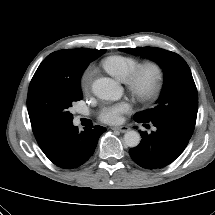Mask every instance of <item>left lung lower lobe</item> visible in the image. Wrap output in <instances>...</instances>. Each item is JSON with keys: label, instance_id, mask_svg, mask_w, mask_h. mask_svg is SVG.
Masks as SVG:
<instances>
[{"label": "left lung lower lobe", "instance_id": "left-lung-lower-lobe-1", "mask_svg": "<svg viewBox=\"0 0 215 215\" xmlns=\"http://www.w3.org/2000/svg\"><path fill=\"white\" fill-rule=\"evenodd\" d=\"M134 120L156 127L150 134L139 131L140 144L129 150L132 160L143 168L157 169L169 165L184 151L191 138L190 134L168 122Z\"/></svg>", "mask_w": 215, "mask_h": 215}]
</instances>
